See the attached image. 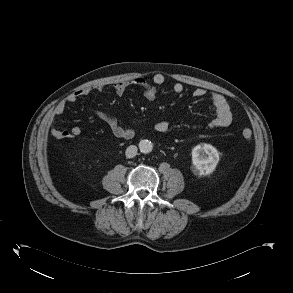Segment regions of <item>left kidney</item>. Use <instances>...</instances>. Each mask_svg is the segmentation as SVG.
I'll return each instance as SVG.
<instances>
[{
	"mask_svg": "<svg viewBox=\"0 0 293 293\" xmlns=\"http://www.w3.org/2000/svg\"><path fill=\"white\" fill-rule=\"evenodd\" d=\"M219 160L218 150L210 144H199L192 149L193 171L196 175H210Z\"/></svg>",
	"mask_w": 293,
	"mask_h": 293,
	"instance_id": "obj_1",
	"label": "left kidney"
}]
</instances>
